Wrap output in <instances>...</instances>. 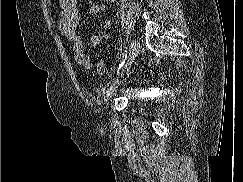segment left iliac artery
<instances>
[{"instance_id": "left-iliac-artery-1", "label": "left iliac artery", "mask_w": 243, "mask_h": 182, "mask_svg": "<svg viewBox=\"0 0 243 182\" xmlns=\"http://www.w3.org/2000/svg\"><path fill=\"white\" fill-rule=\"evenodd\" d=\"M126 58H127V50H125L124 53H123L122 61H121L119 68L117 70V74L119 73V69H121L124 66Z\"/></svg>"}]
</instances>
